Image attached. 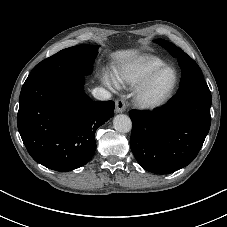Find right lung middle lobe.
Segmentation results:
<instances>
[{"instance_id":"right-lung-middle-lobe-1","label":"right lung middle lobe","mask_w":227,"mask_h":227,"mask_svg":"<svg viewBox=\"0 0 227 227\" xmlns=\"http://www.w3.org/2000/svg\"><path fill=\"white\" fill-rule=\"evenodd\" d=\"M98 48V45H77L59 51L37 64L22 88L29 87L45 79L90 74Z\"/></svg>"}]
</instances>
